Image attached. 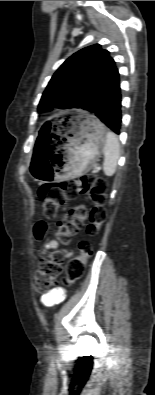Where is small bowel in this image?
I'll return each instance as SVG.
<instances>
[{"label":"small bowel","instance_id":"obj_1","mask_svg":"<svg viewBox=\"0 0 155 395\" xmlns=\"http://www.w3.org/2000/svg\"><path fill=\"white\" fill-rule=\"evenodd\" d=\"M58 247V242L56 240H51L49 241L46 245L45 248L43 249V253L47 249H56ZM71 252H67L65 254V257L71 256ZM65 298V291L62 288H55L45 294L42 295L41 297V302L44 306L46 307H52L60 302H62Z\"/></svg>","mask_w":155,"mask_h":395}]
</instances>
